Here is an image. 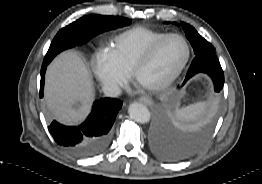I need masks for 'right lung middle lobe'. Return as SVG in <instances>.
<instances>
[{"instance_id":"obj_1","label":"right lung middle lobe","mask_w":262,"mask_h":184,"mask_svg":"<svg viewBox=\"0 0 262 184\" xmlns=\"http://www.w3.org/2000/svg\"><path fill=\"white\" fill-rule=\"evenodd\" d=\"M131 23L125 17L105 15L84 16L70 25L62 28L54 37L43 64H49L61 51L86 43L90 37L102 32L127 26Z\"/></svg>"}]
</instances>
